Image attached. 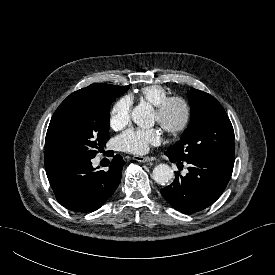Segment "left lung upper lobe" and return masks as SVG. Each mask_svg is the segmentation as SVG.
<instances>
[{
    "label": "left lung upper lobe",
    "instance_id": "left-lung-upper-lobe-1",
    "mask_svg": "<svg viewBox=\"0 0 275 275\" xmlns=\"http://www.w3.org/2000/svg\"><path fill=\"white\" fill-rule=\"evenodd\" d=\"M188 97L190 124L166 152L179 161L197 156L234 161V130L222 105L210 94L194 88Z\"/></svg>",
    "mask_w": 275,
    "mask_h": 275
}]
</instances>
